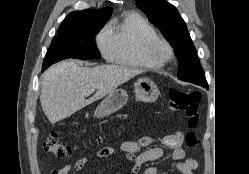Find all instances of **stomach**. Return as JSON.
Masks as SVG:
<instances>
[{
	"label": "stomach",
	"instance_id": "obj_1",
	"mask_svg": "<svg viewBox=\"0 0 249 174\" xmlns=\"http://www.w3.org/2000/svg\"><path fill=\"white\" fill-rule=\"evenodd\" d=\"M136 97L142 102H154L160 92L157 85L148 78H140L134 84ZM128 95L123 89L112 91L96 108L94 116L102 118L121 109L127 102Z\"/></svg>",
	"mask_w": 249,
	"mask_h": 174
}]
</instances>
